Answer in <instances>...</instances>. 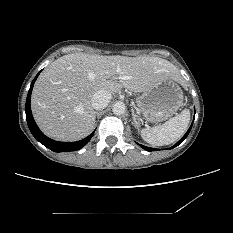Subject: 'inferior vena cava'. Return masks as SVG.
Segmentation results:
<instances>
[{"label": "inferior vena cava", "instance_id": "1", "mask_svg": "<svg viewBox=\"0 0 233 233\" xmlns=\"http://www.w3.org/2000/svg\"><path fill=\"white\" fill-rule=\"evenodd\" d=\"M111 98V93H109L106 90H99L96 93H94L92 97V107L96 110L104 109L108 106V103L110 102Z\"/></svg>", "mask_w": 233, "mask_h": 233}]
</instances>
